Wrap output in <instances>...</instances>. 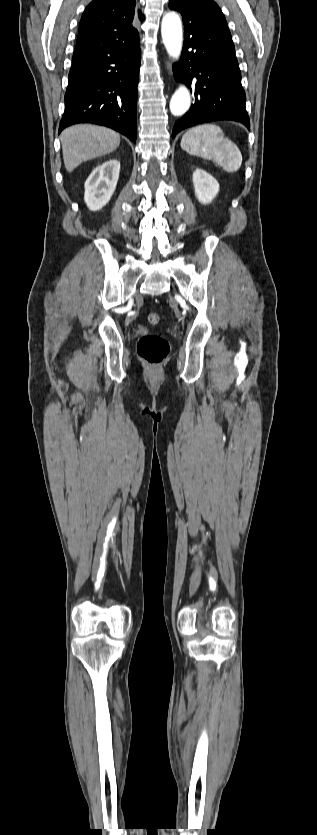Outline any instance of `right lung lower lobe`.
I'll list each match as a JSON object with an SVG mask.
<instances>
[{
  "mask_svg": "<svg viewBox=\"0 0 317 835\" xmlns=\"http://www.w3.org/2000/svg\"><path fill=\"white\" fill-rule=\"evenodd\" d=\"M140 57L139 37L111 49H76L58 133L74 124L93 123L135 142Z\"/></svg>",
  "mask_w": 317,
  "mask_h": 835,
  "instance_id": "1",
  "label": "right lung lower lobe"
}]
</instances>
